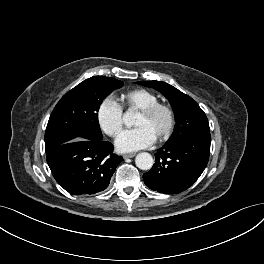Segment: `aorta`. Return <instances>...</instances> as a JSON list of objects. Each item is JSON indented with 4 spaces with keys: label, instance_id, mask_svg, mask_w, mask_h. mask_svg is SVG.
Here are the masks:
<instances>
[{
    "label": "aorta",
    "instance_id": "aorta-1",
    "mask_svg": "<svg viewBox=\"0 0 264 264\" xmlns=\"http://www.w3.org/2000/svg\"><path fill=\"white\" fill-rule=\"evenodd\" d=\"M123 121L127 126L132 125V113H131V111H127L123 115ZM153 163H154L153 157L147 152L139 153L135 158V164L141 170L151 169L153 166Z\"/></svg>",
    "mask_w": 264,
    "mask_h": 264
}]
</instances>
